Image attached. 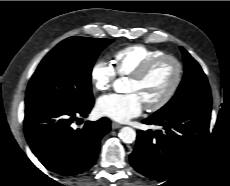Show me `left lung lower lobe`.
<instances>
[{"instance_id":"0a47b994","label":"left lung lower lobe","mask_w":230,"mask_h":186,"mask_svg":"<svg viewBox=\"0 0 230 186\" xmlns=\"http://www.w3.org/2000/svg\"><path fill=\"white\" fill-rule=\"evenodd\" d=\"M210 107H192L166 115H152L143 123L159 125L163 131H137L132 167L152 179L168 180L181 170L204 145Z\"/></svg>"}]
</instances>
